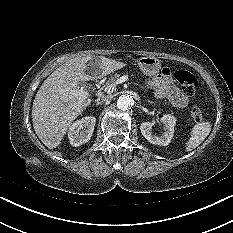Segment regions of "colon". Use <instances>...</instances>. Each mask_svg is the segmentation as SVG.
<instances>
[{"instance_id": "5ec220e1", "label": "colon", "mask_w": 233, "mask_h": 233, "mask_svg": "<svg viewBox=\"0 0 233 233\" xmlns=\"http://www.w3.org/2000/svg\"><path fill=\"white\" fill-rule=\"evenodd\" d=\"M174 78L177 83L181 86L185 94L192 96L194 95L198 81L197 78L187 70H177L174 73ZM191 117L195 122H199L203 118L201 109L198 106H194L191 109Z\"/></svg>"}]
</instances>
